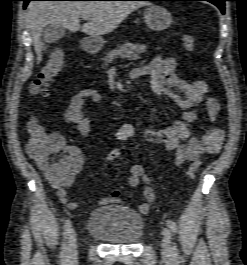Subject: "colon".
<instances>
[{
    "mask_svg": "<svg viewBox=\"0 0 247 265\" xmlns=\"http://www.w3.org/2000/svg\"><path fill=\"white\" fill-rule=\"evenodd\" d=\"M183 48L191 52L195 47V39L192 34H182L180 37ZM64 65V53L60 49L54 50L46 65L30 87L33 96L45 97L48 92L49 82L58 74ZM29 141L26 151L35 162L45 171L49 178L55 180L64 179L71 168V161L63 151V141L56 133L48 132L40 123L36 114H33L28 122ZM120 158V151L112 149L107 154L109 163L116 162ZM201 167V161L195 160L189 168V175L194 176Z\"/></svg>",
    "mask_w": 247,
    "mask_h": 265,
    "instance_id": "1",
    "label": "colon"
}]
</instances>
